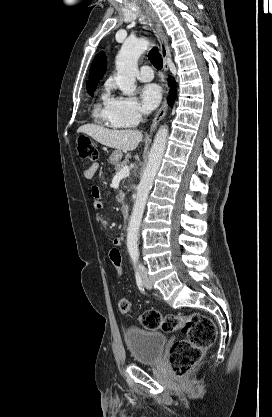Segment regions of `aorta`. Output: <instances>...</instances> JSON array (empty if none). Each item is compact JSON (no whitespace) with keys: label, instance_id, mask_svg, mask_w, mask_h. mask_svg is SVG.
Segmentation results:
<instances>
[{"label":"aorta","instance_id":"aorta-1","mask_svg":"<svg viewBox=\"0 0 272 417\" xmlns=\"http://www.w3.org/2000/svg\"><path fill=\"white\" fill-rule=\"evenodd\" d=\"M150 42L145 38L127 39L117 57L115 78L116 85L124 94H133L136 90L135 75L139 57L148 49ZM168 127L161 126L156 133L150 149L147 166L137 187V195L127 232V249L133 261L139 258L138 234L149 192L160 168L166 149Z\"/></svg>","mask_w":272,"mask_h":417}]
</instances>
